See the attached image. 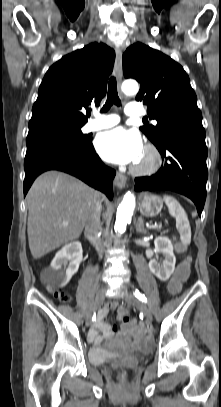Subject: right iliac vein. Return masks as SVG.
<instances>
[{"mask_svg":"<svg viewBox=\"0 0 221 407\" xmlns=\"http://www.w3.org/2000/svg\"><path fill=\"white\" fill-rule=\"evenodd\" d=\"M106 287L102 286L96 294L94 303H93V307L90 310V312L87 314L86 316V326H90L91 325V321L93 318V313L102 305L104 298H105V292H106Z\"/></svg>","mask_w":221,"mask_h":407,"instance_id":"right-iliac-vein-1","label":"right iliac vein"}]
</instances>
